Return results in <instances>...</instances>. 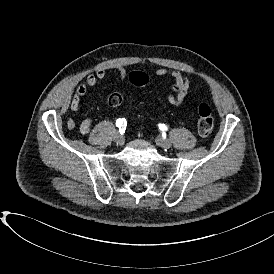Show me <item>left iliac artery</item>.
I'll return each mask as SVG.
<instances>
[{
    "instance_id": "44dca946",
    "label": "left iliac artery",
    "mask_w": 274,
    "mask_h": 274,
    "mask_svg": "<svg viewBox=\"0 0 274 274\" xmlns=\"http://www.w3.org/2000/svg\"><path fill=\"white\" fill-rule=\"evenodd\" d=\"M159 128L161 131H166L168 130L167 126L165 124H159Z\"/></svg>"
}]
</instances>
